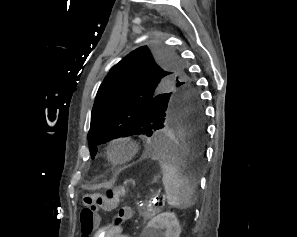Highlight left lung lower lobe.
<instances>
[{"label": "left lung lower lobe", "instance_id": "obj_1", "mask_svg": "<svg viewBox=\"0 0 297 237\" xmlns=\"http://www.w3.org/2000/svg\"><path fill=\"white\" fill-rule=\"evenodd\" d=\"M206 134L202 107L191 100L176 101L141 154L164 156L180 165L196 168L203 158Z\"/></svg>", "mask_w": 297, "mask_h": 237}]
</instances>
